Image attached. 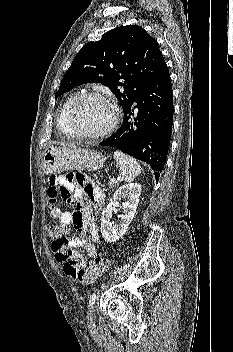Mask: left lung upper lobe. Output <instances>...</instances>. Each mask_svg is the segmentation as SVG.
Wrapping results in <instances>:
<instances>
[{
    "mask_svg": "<svg viewBox=\"0 0 233 352\" xmlns=\"http://www.w3.org/2000/svg\"><path fill=\"white\" fill-rule=\"evenodd\" d=\"M165 68L157 41L142 27H117L80 49L55 97L81 84L102 83L124 108Z\"/></svg>",
    "mask_w": 233,
    "mask_h": 352,
    "instance_id": "left-lung-upper-lobe-1",
    "label": "left lung upper lobe"
}]
</instances>
